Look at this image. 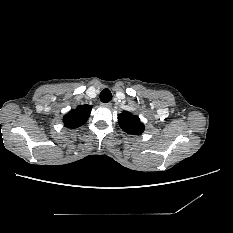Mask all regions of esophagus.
Masks as SVG:
<instances>
[{
	"label": "esophagus",
	"instance_id": "34e87169",
	"mask_svg": "<svg viewBox=\"0 0 233 233\" xmlns=\"http://www.w3.org/2000/svg\"><path fill=\"white\" fill-rule=\"evenodd\" d=\"M101 106L111 108L112 104L111 103H101Z\"/></svg>",
	"mask_w": 233,
	"mask_h": 233
}]
</instances>
